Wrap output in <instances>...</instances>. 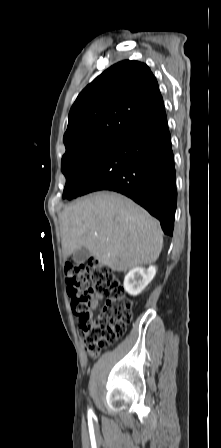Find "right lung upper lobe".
I'll use <instances>...</instances> for the list:
<instances>
[{
    "mask_svg": "<svg viewBox=\"0 0 221 448\" xmlns=\"http://www.w3.org/2000/svg\"><path fill=\"white\" fill-rule=\"evenodd\" d=\"M164 106L149 67L121 61L93 80L77 97L63 137L66 152L97 140L119 138Z\"/></svg>",
    "mask_w": 221,
    "mask_h": 448,
    "instance_id": "1",
    "label": "right lung upper lobe"
}]
</instances>
